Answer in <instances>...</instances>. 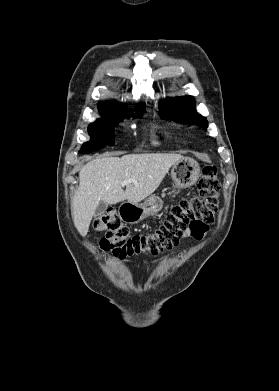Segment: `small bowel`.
Wrapping results in <instances>:
<instances>
[{"instance_id":"c3829d8e","label":"small bowel","mask_w":279,"mask_h":391,"mask_svg":"<svg viewBox=\"0 0 279 391\" xmlns=\"http://www.w3.org/2000/svg\"><path fill=\"white\" fill-rule=\"evenodd\" d=\"M189 236H191V234H190V231L189 230H187V231H185L184 232V234H183V238H186V237H189Z\"/></svg>"}]
</instances>
